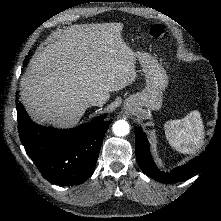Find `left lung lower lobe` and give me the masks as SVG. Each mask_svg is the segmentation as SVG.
Instances as JSON below:
<instances>
[{"instance_id": "0a47b994", "label": "left lung lower lobe", "mask_w": 221, "mask_h": 221, "mask_svg": "<svg viewBox=\"0 0 221 221\" xmlns=\"http://www.w3.org/2000/svg\"><path fill=\"white\" fill-rule=\"evenodd\" d=\"M219 90H221V88ZM219 92L220 102L218 105L219 115L217 120V126L215 129L214 137L212 138L210 144L207 146L206 151H204L199 157H196L193 160L189 161L186 165L177 167L170 172L160 171L156 167L150 154L148 139L146 135L140 128L135 127L136 159L142 171L146 175L161 183H172L191 178L202 170L209 156L214 150L213 148H215L214 145H216L217 142L221 141V91Z\"/></svg>"}]
</instances>
